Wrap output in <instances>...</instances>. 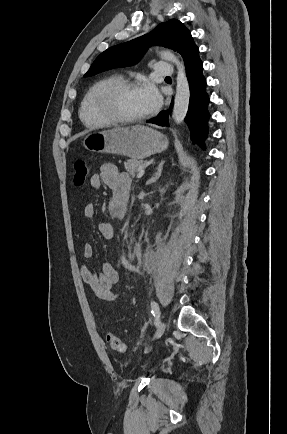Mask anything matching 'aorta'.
I'll return each mask as SVG.
<instances>
[{"label": "aorta", "mask_w": 287, "mask_h": 434, "mask_svg": "<svg viewBox=\"0 0 287 434\" xmlns=\"http://www.w3.org/2000/svg\"><path fill=\"white\" fill-rule=\"evenodd\" d=\"M161 56L164 59L173 62L177 68L176 95L174 100L173 119L177 124H180L183 122L187 114L190 100V89L186 77L185 66L184 63L181 62L170 51H163L161 53Z\"/></svg>", "instance_id": "aorta-1"}]
</instances>
